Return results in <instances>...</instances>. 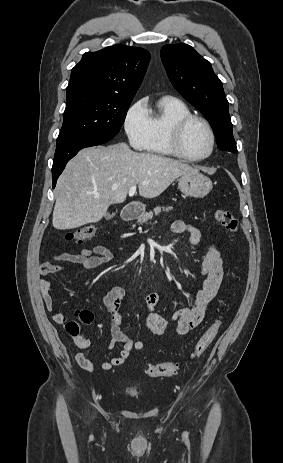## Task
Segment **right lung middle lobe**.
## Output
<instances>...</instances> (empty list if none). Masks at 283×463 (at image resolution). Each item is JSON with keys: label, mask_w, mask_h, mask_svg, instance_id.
Returning a JSON list of instances; mask_svg holds the SVG:
<instances>
[{"label": "right lung middle lobe", "mask_w": 283, "mask_h": 463, "mask_svg": "<svg viewBox=\"0 0 283 463\" xmlns=\"http://www.w3.org/2000/svg\"><path fill=\"white\" fill-rule=\"evenodd\" d=\"M132 99L74 92L67 95L57 144L83 137H114L125 121Z\"/></svg>", "instance_id": "dd1d6c3e"}]
</instances>
